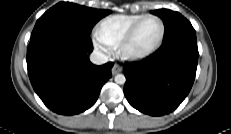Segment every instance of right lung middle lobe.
Listing matches in <instances>:
<instances>
[{
    "label": "right lung middle lobe",
    "instance_id": "obj_1",
    "mask_svg": "<svg viewBox=\"0 0 231 134\" xmlns=\"http://www.w3.org/2000/svg\"><path fill=\"white\" fill-rule=\"evenodd\" d=\"M110 13L109 10L92 9L70 2H60L37 20L33 32L50 24H63L89 35L93 25Z\"/></svg>",
    "mask_w": 231,
    "mask_h": 134
}]
</instances>
